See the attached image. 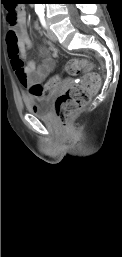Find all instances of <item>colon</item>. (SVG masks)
<instances>
[{
    "label": "colon",
    "mask_w": 122,
    "mask_h": 257,
    "mask_svg": "<svg viewBox=\"0 0 122 257\" xmlns=\"http://www.w3.org/2000/svg\"><path fill=\"white\" fill-rule=\"evenodd\" d=\"M19 9L18 5H3V10H10L8 20L14 23L17 20ZM92 65L86 59L74 58L69 60L61 70H55L54 76H49L47 82L29 83L28 94L30 98H45L50 94V90H61L66 74L77 76L82 71L87 73L83 76L79 85L69 88L66 92L59 95L55 101V114L63 126H67L73 116L86 106L91 95L100 86V77L91 72Z\"/></svg>",
    "instance_id": "1"
}]
</instances>
